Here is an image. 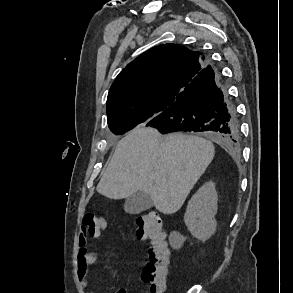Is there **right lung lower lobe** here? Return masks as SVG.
I'll list each match as a JSON object with an SVG mask.
<instances>
[{"mask_svg": "<svg viewBox=\"0 0 293 293\" xmlns=\"http://www.w3.org/2000/svg\"><path fill=\"white\" fill-rule=\"evenodd\" d=\"M146 126L161 133L205 132L229 146L239 142L236 109L221 86L219 72L207 65L164 112Z\"/></svg>", "mask_w": 293, "mask_h": 293, "instance_id": "right-lung-lower-lobe-1", "label": "right lung lower lobe"}]
</instances>
